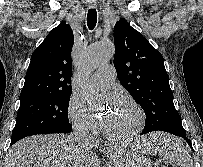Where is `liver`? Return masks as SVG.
Masks as SVG:
<instances>
[{
	"mask_svg": "<svg viewBox=\"0 0 203 167\" xmlns=\"http://www.w3.org/2000/svg\"><path fill=\"white\" fill-rule=\"evenodd\" d=\"M102 151L112 164L125 152L116 145ZM6 167H100V164L89 145H78L72 135L49 134L17 142L8 151Z\"/></svg>",
	"mask_w": 203,
	"mask_h": 167,
	"instance_id": "obj_1",
	"label": "liver"
}]
</instances>
